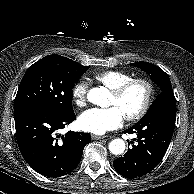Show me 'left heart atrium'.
I'll use <instances>...</instances> for the list:
<instances>
[{"instance_id": "obj_1", "label": "left heart atrium", "mask_w": 194, "mask_h": 194, "mask_svg": "<svg viewBox=\"0 0 194 194\" xmlns=\"http://www.w3.org/2000/svg\"><path fill=\"white\" fill-rule=\"evenodd\" d=\"M124 116L115 106L109 108H91L78 118L79 127L87 132L103 134L121 126Z\"/></svg>"}]
</instances>
